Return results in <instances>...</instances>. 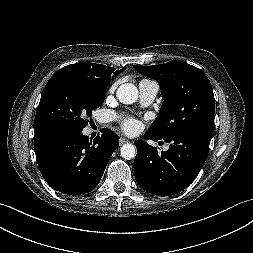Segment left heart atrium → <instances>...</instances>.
<instances>
[{"label":"left heart atrium","mask_w":253,"mask_h":253,"mask_svg":"<svg viewBox=\"0 0 253 253\" xmlns=\"http://www.w3.org/2000/svg\"><path fill=\"white\" fill-rule=\"evenodd\" d=\"M122 128L127 133H133L138 128V122L132 118H127L122 121Z\"/></svg>","instance_id":"left-heart-atrium-1"}]
</instances>
